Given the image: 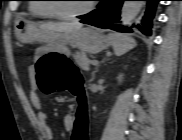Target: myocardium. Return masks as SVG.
<instances>
[{
  "mask_svg": "<svg viewBox=\"0 0 182 140\" xmlns=\"http://www.w3.org/2000/svg\"><path fill=\"white\" fill-rule=\"evenodd\" d=\"M50 1H56V0H50ZM49 7H50V10H51L53 16H56L61 19L70 20V19H76V18L82 17V16L86 15L87 13H89L93 7V4L88 3L80 11L73 12V13L65 12L64 10L61 9L60 4H58V3L52 2L49 4Z\"/></svg>",
  "mask_w": 182,
  "mask_h": 140,
  "instance_id": "myocardium-1",
  "label": "myocardium"
}]
</instances>
